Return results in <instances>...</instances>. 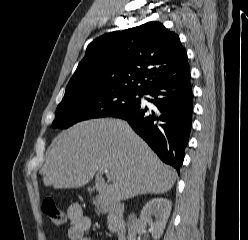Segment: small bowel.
Listing matches in <instances>:
<instances>
[{
    "label": "small bowel",
    "mask_w": 248,
    "mask_h": 240,
    "mask_svg": "<svg viewBox=\"0 0 248 240\" xmlns=\"http://www.w3.org/2000/svg\"><path fill=\"white\" fill-rule=\"evenodd\" d=\"M70 221L68 228V238L70 240H93L89 236L91 220L84 215L80 205L72 204L67 210Z\"/></svg>",
    "instance_id": "obj_1"
}]
</instances>
